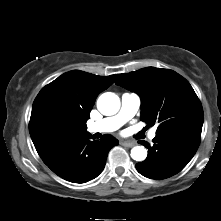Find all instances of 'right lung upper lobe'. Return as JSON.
I'll list each match as a JSON object with an SVG mask.
<instances>
[{"instance_id":"1","label":"right lung upper lobe","mask_w":221,"mask_h":221,"mask_svg":"<svg viewBox=\"0 0 221 221\" xmlns=\"http://www.w3.org/2000/svg\"><path fill=\"white\" fill-rule=\"evenodd\" d=\"M116 77L117 74L103 77L73 70L43 87L34 100L29 123L35 148L87 134L86 122L97 96Z\"/></svg>"}]
</instances>
